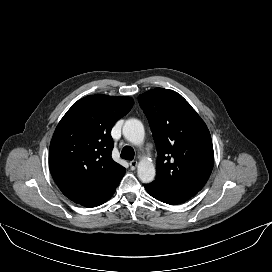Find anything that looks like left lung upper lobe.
<instances>
[{"instance_id":"5c2ea615","label":"left lung upper lobe","mask_w":272,"mask_h":272,"mask_svg":"<svg viewBox=\"0 0 272 272\" xmlns=\"http://www.w3.org/2000/svg\"><path fill=\"white\" fill-rule=\"evenodd\" d=\"M149 121L158 159L156 179L149 187L192 197L206 184L214 164L206 124L177 92L149 90L138 98Z\"/></svg>"}]
</instances>
